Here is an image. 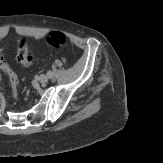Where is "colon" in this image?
<instances>
[{"mask_svg":"<svg viewBox=\"0 0 163 163\" xmlns=\"http://www.w3.org/2000/svg\"><path fill=\"white\" fill-rule=\"evenodd\" d=\"M46 42L54 48H61L65 45L66 38L65 35L61 32H50L46 36ZM16 58L18 62L25 67H29L30 65L33 64L34 57L29 52L27 42L23 41L19 44L17 48ZM0 70H2L3 73L5 74L13 94L16 95L18 86L17 77L13 70L5 62L1 54H0Z\"/></svg>","mask_w":163,"mask_h":163,"instance_id":"obj_1","label":"colon"}]
</instances>
